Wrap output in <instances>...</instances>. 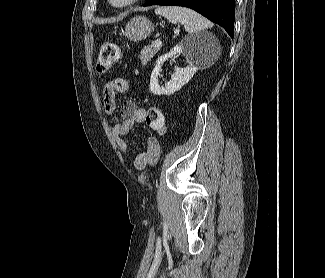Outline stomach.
<instances>
[{
    "instance_id": "1",
    "label": "stomach",
    "mask_w": 325,
    "mask_h": 278,
    "mask_svg": "<svg viewBox=\"0 0 325 278\" xmlns=\"http://www.w3.org/2000/svg\"><path fill=\"white\" fill-rule=\"evenodd\" d=\"M154 30V24L144 16L132 18L125 27V35L132 42L146 39Z\"/></svg>"
}]
</instances>
